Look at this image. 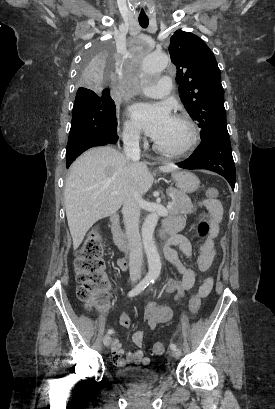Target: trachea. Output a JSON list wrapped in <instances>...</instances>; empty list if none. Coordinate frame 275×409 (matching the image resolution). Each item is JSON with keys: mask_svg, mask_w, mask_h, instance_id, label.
Segmentation results:
<instances>
[{"mask_svg": "<svg viewBox=\"0 0 275 409\" xmlns=\"http://www.w3.org/2000/svg\"><path fill=\"white\" fill-rule=\"evenodd\" d=\"M139 24L142 28H147L148 24H149V20L148 19H139Z\"/></svg>", "mask_w": 275, "mask_h": 409, "instance_id": "trachea-1", "label": "trachea"}]
</instances>
